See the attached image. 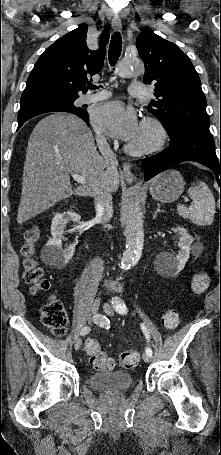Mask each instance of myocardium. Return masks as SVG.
I'll return each instance as SVG.
<instances>
[{"label": "myocardium", "instance_id": "myocardium-1", "mask_svg": "<svg viewBox=\"0 0 221 455\" xmlns=\"http://www.w3.org/2000/svg\"><path fill=\"white\" fill-rule=\"evenodd\" d=\"M140 128L151 133V139L144 143L128 142L125 145L127 152L133 155H145L161 150L167 140V133L163 123L155 117H146L141 121Z\"/></svg>", "mask_w": 221, "mask_h": 455}]
</instances>
